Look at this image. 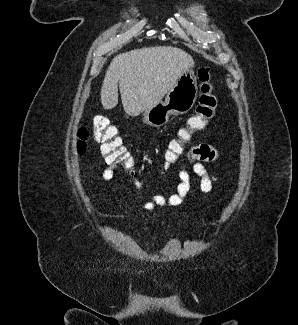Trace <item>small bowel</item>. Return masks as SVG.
<instances>
[{"label":"small bowel","instance_id":"c3829d8e","mask_svg":"<svg viewBox=\"0 0 298 325\" xmlns=\"http://www.w3.org/2000/svg\"><path fill=\"white\" fill-rule=\"evenodd\" d=\"M217 157V151L208 144H198L192 147L187 153V158L192 163L193 172L200 178V189L203 193H210L216 180L215 177L207 171L204 164L215 161ZM105 160L109 166L102 172V176L105 180H110L113 178L114 169L117 165L109 162L107 159ZM179 180L180 182L177 186L176 193L167 197L163 195H154L152 200L145 203L141 210L152 211L156 207H177L181 205L184 197L190 191V175L185 169L180 170Z\"/></svg>","mask_w":298,"mask_h":325}]
</instances>
